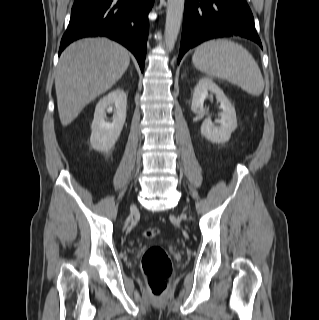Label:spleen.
I'll list each match as a JSON object with an SVG mask.
<instances>
[{"mask_svg": "<svg viewBox=\"0 0 319 320\" xmlns=\"http://www.w3.org/2000/svg\"><path fill=\"white\" fill-rule=\"evenodd\" d=\"M192 62L208 76L229 81L246 93L259 96L264 79L253 56L240 44L227 39L209 40L199 45Z\"/></svg>", "mask_w": 319, "mask_h": 320, "instance_id": "1", "label": "spleen"}]
</instances>
